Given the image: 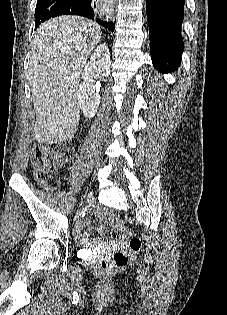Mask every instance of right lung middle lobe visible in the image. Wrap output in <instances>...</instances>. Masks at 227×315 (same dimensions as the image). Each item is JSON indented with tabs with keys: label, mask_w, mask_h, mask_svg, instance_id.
I'll return each instance as SVG.
<instances>
[{
	"label": "right lung middle lobe",
	"mask_w": 227,
	"mask_h": 315,
	"mask_svg": "<svg viewBox=\"0 0 227 315\" xmlns=\"http://www.w3.org/2000/svg\"><path fill=\"white\" fill-rule=\"evenodd\" d=\"M68 0H37L35 9V29L44 21L53 17V14Z\"/></svg>",
	"instance_id": "dd1d6c3e"
}]
</instances>
